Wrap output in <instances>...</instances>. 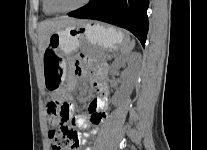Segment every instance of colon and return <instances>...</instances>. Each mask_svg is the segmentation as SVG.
Instances as JSON below:
<instances>
[{
	"mask_svg": "<svg viewBox=\"0 0 207 150\" xmlns=\"http://www.w3.org/2000/svg\"><path fill=\"white\" fill-rule=\"evenodd\" d=\"M69 102L60 100V96H52L47 103L51 127L48 138L51 150H77L78 132L69 127Z\"/></svg>",
	"mask_w": 207,
	"mask_h": 150,
	"instance_id": "5ec220e1",
	"label": "colon"
}]
</instances>
